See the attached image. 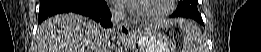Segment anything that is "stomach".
I'll list each match as a JSON object with an SVG mask.
<instances>
[{
  "label": "stomach",
  "instance_id": "obj_1",
  "mask_svg": "<svg viewBox=\"0 0 261 52\" xmlns=\"http://www.w3.org/2000/svg\"><path fill=\"white\" fill-rule=\"evenodd\" d=\"M130 44L135 52H170L168 39L153 28L137 31Z\"/></svg>",
  "mask_w": 261,
  "mask_h": 52
}]
</instances>
